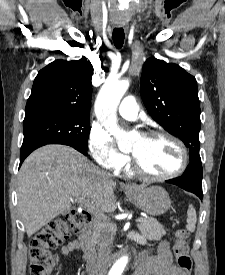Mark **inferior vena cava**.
I'll list each match as a JSON object with an SVG mask.
<instances>
[{"mask_svg": "<svg viewBox=\"0 0 225 275\" xmlns=\"http://www.w3.org/2000/svg\"><path fill=\"white\" fill-rule=\"evenodd\" d=\"M108 177H111L110 174H107ZM111 255V246L107 242L99 244L98 258L93 269L92 275H106L108 261Z\"/></svg>", "mask_w": 225, "mask_h": 275, "instance_id": "obj_1", "label": "inferior vena cava"}]
</instances>
